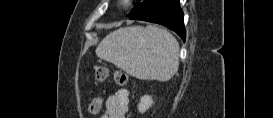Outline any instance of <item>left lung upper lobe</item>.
I'll return each instance as SVG.
<instances>
[{
    "label": "left lung upper lobe",
    "mask_w": 273,
    "mask_h": 118,
    "mask_svg": "<svg viewBox=\"0 0 273 118\" xmlns=\"http://www.w3.org/2000/svg\"><path fill=\"white\" fill-rule=\"evenodd\" d=\"M166 0H136L135 7L128 17L133 20H141L145 16L154 13Z\"/></svg>",
    "instance_id": "left-lung-upper-lobe-1"
}]
</instances>
